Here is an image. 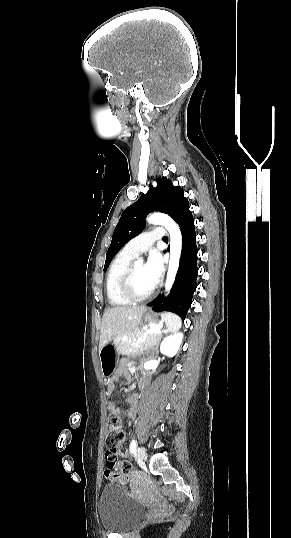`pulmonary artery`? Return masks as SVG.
<instances>
[{
	"mask_svg": "<svg viewBox=\"0 0 291 538\" xmlns=\"http://www.w3.org/2000/svg\"><path fill=\"white\" fill-rule=\"evenodd\" d=\"M165 236H167L166 230L158 227L136 236L125 245L124 249L128 253L138 256L148 250L156 240L163 239Z\"/></svg>",
	"mask_w": 291,
	"mask_h": 538,
	"instance_id": "e3ab8cb5",
	"label": "pulmonary artery"
}]
</instances>
